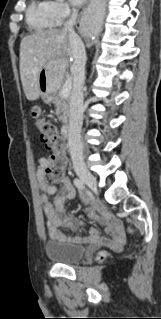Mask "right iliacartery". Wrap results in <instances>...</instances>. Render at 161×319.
<instances>
[{
    "instance_id": "obj_1",
    "label": "right iliac artery",
    "mask_w": 161,
    "mask_h": 319,
    "mask_svg": "<svg viewBox=\"0 0 161 319\" xmlns=\"http://www.w3.org/2000/svg\"><path fill=\"white\" fill-rule=\"evenodd\" d=\"M73 183L78 188V190H84L85 188L84 183L80 179L75 178Z\"/></svg>"
}]
</instances>
